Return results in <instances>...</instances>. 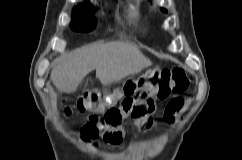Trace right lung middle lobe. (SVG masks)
I'll return each instance as SVG.
<instances>
[{"label": "right lung middle lobe", "mask_w": 242, "mask_h": 160, "mask_svg": "<svg viewBox=\"0 0 242 160\" xmlns=\"http://www.w3.org/2000/svg\"><path fill=\"white\" fill-rule=\"evenodd\" d=\"M95 27L92 9L90 5L78 6L73 10L71 28L80 31L87 32Z\"/></svg>", "instance_id": "right-lung-middle-lobe-1"}]
</instances>
